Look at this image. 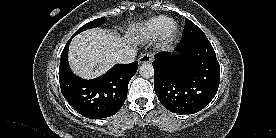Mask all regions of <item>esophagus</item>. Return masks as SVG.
<instances>
[{
  "instance_id": "esophagus-1",
  "label": "esophagus",
  "mask_w": 276,
  "mask_h": 138,
  "mask_svg": "<svg viewBox=\"0 0 276 138\" xmlns=\"http://www.w3.org/2000/svg\"><path fill=\"white\" fill-rule=\"evenodd\" d=\"M152 60V54L150 53H144L142 54L139 59H138V62L141 64V63H149L151 62Z\"/></svg>"
}]
</instances>
